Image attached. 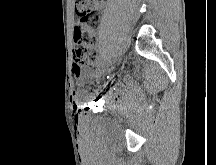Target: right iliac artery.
<instances>
[{
    "mask_svg": "<svg viewBox=\"0 0 216 165\" xmlns=\"http://www.w3.org/2000/svg\"><path fill=\"white\" fill-rule=\"evenodd\" d=\"M110 54L108 53L106 56L103 57V60L99 63L101 66H103L104 64H110L111 60H110Z\"/></svg>",
    "mask_w": 216,
    "mask_h": 165,
    "instance_id": "1",
    "label": "right iliac artery"
}]
</instances>
